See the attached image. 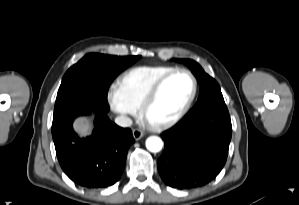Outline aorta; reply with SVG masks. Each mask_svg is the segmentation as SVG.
<instances>
[{"label": "aorta", "instance_id": "aorta-1", "mask_svg": "<svg viewBox=\"0 0 299 205\" xmlns=\"http://www.w3.org/2000/svg\"><path fill=\"white\" fill-rule=\"evenodd\" d=\"M163 147L162 140L157 136H151L146 140V148L150 152H159Z\"/></svg>", "mask_w": 299, "mask_h": 205}]
</instances>
